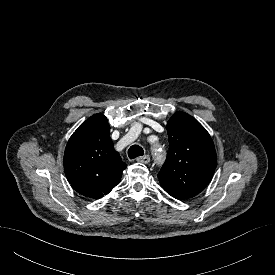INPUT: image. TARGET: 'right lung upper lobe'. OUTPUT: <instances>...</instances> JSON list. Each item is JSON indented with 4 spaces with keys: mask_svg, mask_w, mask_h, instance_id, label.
<instances>
[{
    "mask_svg": "<svg viewBox=\"0 0 275 275\" xmlns=\"http://www.w3.org/2000/svg\"><path fill=\"white\" fill-rule=\"evenodd\" d=\"M63 164L72 188L91 198L108 194L119 184L127 167L114 149L110 126L103 114L91 116L72 134Z\"/></svg>",
    "mask_w": 275,
    "mask_h": 275,
    "instance_id": "cb5924a9",
    "label": "right lung upper lobe"
}]
</instances>
